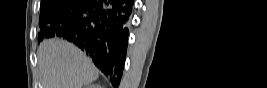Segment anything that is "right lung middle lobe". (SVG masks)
Returning a JSON list of instances; mask_svg holds the SVG:
<instances>
[{"label":"right lung middle lobe","instance_id":"dd1d6c3e","mask_svg":"<svg viewBox=\"0 0 267 88\" xmlns=\"http://www.w3.org/2000/svg\"><path fill=\"white\" fill-rule=\"evenodd\" d=\"M80 0H42L40 12L41 34L38 39H44V27L62 14L69 12Z\"/></svg>","mask_w":267,"mask_h":88}]
</instances>
